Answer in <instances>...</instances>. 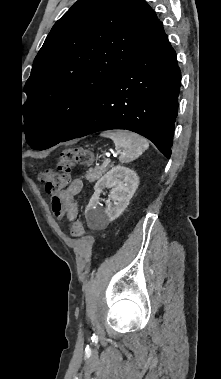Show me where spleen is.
Segmentation results:
<instances>
[{
	"instance_id": "1",
	"label": "spleen",
	"mask_w": 221,
	"mask_h": 379,
	"mask_svg": "<svg viewBox=\"0 0 221 379\" xmlns=\"http://www.w3.org/2000/svg\"><path fill=\"white\" fill-rule=\"evenodd\" d=\"M101 136L110 138L114 142L116 150L120 153L119 161L123 164L134 161L149 147L145 138L133 132L107 131Z\"/></svg>"
}]
</instances>
